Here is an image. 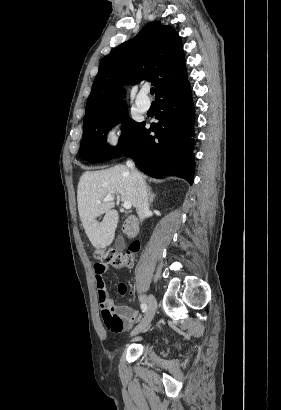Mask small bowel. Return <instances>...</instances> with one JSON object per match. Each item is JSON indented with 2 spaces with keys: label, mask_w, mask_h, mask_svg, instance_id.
<instances>
[{
  "label": "small bowel",
  "mask_w": 281,
  "mask_h": 410,
  "mask_svg": "<svg viewBox=\"0 0 281 410\" xmlns=\"http://www.w3.org/2000/svg\"><path fill=\"white\" fill-rule=\"evenodd\" d=\"M130 267V266H127ZM94 275H95V283L97 287V299L102 312L109 311L115 315H117L123 322V325L120 329L114 330V332H123L128 330L133 323L138 318V312L133 308L126 306V305H115L110 298L105 284V274L108 271L109 265L103 264L101 262L94 264ZM118 292L120 295L124 296L127 292V286L124 283H120L118 285ZM132 293L130 292L129 295Z\"/></svg>",
  "instance_id": "c3829d8e"
}]
</instances>
